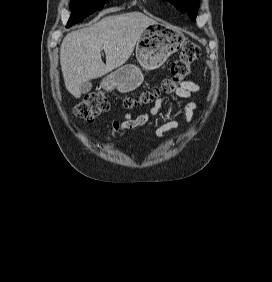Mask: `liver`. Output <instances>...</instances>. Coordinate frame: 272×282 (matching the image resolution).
<instances>
[{"mask_svg": "<svg viewBox=\"0 0 272 282\" xmlns=\"http://www.w3.org/2000/svg\"><path fill=\"white\" fill-rule=\"evenodd\" d=\"M155 21L140 12L107 16L93 25L66 35L60 47V64L66 89L81 97V86L123 65L142 32ZM106 55V64L101 51Z\"/></svg>", "mask_w": 272, "mask_h": 282, "instance_id": "1", "label": "liver"}]
</instances>
